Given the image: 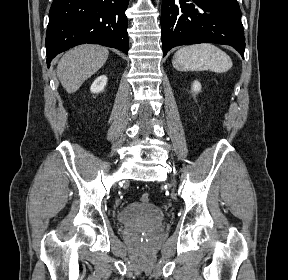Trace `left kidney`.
I'll return each instance as SVG.
<instances>
[{"label": "left kidney", "mask_w": 288, "mask_h": 280, "mask_svg": "<svg viewBox=\"0 0 288 280\" xmlns=\"http://www.w3.org/2000/svg\"><path fill=\"white\" fill-rule=\"evenodd\" d=\"M192 90L196 93H198L201 90V84L198 81L193 82Z\"/></svg>", "instance_id": "5707ae66"}]
</instances>
